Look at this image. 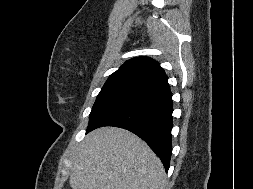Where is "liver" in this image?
Masks as SVG:
<instances>
[{"instance_id": "6515ba94", "label": "liver", "mask_w": 253, "mask_h": 189, "mask_svg": "<svg viewBox=\"0 0 253 189\" xmlns=\"http://www.w3.org/2000/svg\"><path fill=\"white\" fill-rule=\"evenodd\" d=\"M72 189H163L165 172L149 146L130 131L89 133L72 158Z\"/></svg>"}]
</instances>
